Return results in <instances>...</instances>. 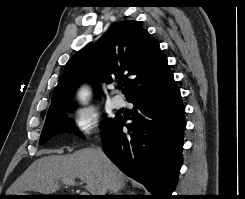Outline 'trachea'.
<instances>
[{"mask_svg":"<svg viewBox=\"0 0 245 199\" xmlns=\"http://www.w3.org/2000/svg\"><path fill=\"white\" fill-rule=\"evenodd\" d=\"M117 87H118V89H122V88H123V86H122V85H118Z\"/></svg>","mask_w":245,"mask_h":199,"instance_id":"obj_1","label":"trachea"}]
</instances>
